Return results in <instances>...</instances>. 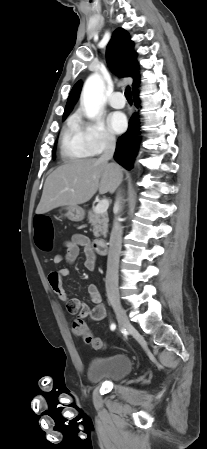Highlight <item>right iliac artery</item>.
<instances>
[{"mask_svg": "<svg viewBox=\"0 0 207 449\" xmlns=\"http://www.w3.org/2000/svg\"><path fill=\"white\" fill-rule=\"evenodd\" d=\"M110 329H111V330H115V329H116L115 323H112V324H111Z\"/></svg>", "mask_w": 207, "mask_h": 449, "instance_id": "right-iliac-artery-1", "label": "right iliac artery"}]
</instances>
